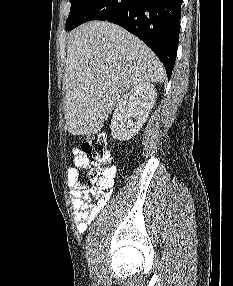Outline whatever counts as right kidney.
Segmentation results:
<instances>
[{
    "instance_id": "ca27d5eb",
    "label": "right kidney",
    "mask_w": 233,
    "mask_h": 286,
    "mask_svg": "<svg viewBox=\"0 0 233 286\" xmlns=\"http://www.w3.org/2000/svg\"><path fill=\"white\" fill-rule=\"evenodd\" d=\"M156 90L150 82L135 85L118 101L111 120L112 136L120 141L131 139L148 118L156 101Z\"/></svg>"
}]
</instances>
